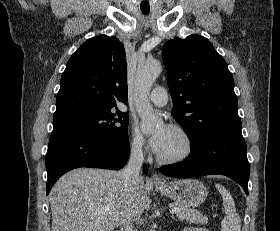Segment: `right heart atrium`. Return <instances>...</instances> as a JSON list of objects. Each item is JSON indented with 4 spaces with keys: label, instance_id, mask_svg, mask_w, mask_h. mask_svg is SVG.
I'll return each instance as SVG.
<instances>
[{
    "label": "right heart atrium",
    "instance_id": "right-heart-atrium-1",
    "mask_svg": "<svg viewBox=\"0 0 280 231\" xmlns=\"http://www.w3.org/2000/svg\"><path fill=\"white\" fill-rule=\"evenodd\" d=\"M129 149L131 152L136 154H143L147 150L143 137L138 133L136 129H132L131 131Z\"/></svg>",
    "mask_w": 280,
    "mask_h": 231
}]
</instances>
